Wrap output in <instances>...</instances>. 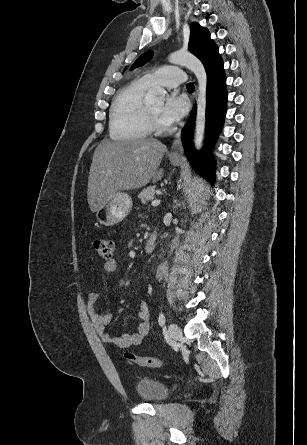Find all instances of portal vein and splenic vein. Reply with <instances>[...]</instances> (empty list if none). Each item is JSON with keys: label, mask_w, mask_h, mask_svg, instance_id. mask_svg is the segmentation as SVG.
<instances>
[{"label": "portal vein and splenic vein", "mask_w": 307, "mask_h": 445, "mask_svg": "<svg viewBox=\"0 0 307 445\" xmlns=\"http://www.w3.org/2000/svg\"><path fill=\"white\" fill-rule=\"evenodd\" d=\"M151 204L152 206H158V204H160V200H152Z\"/></svg>", "instance_id": "18ae733b"}]
</instances>
